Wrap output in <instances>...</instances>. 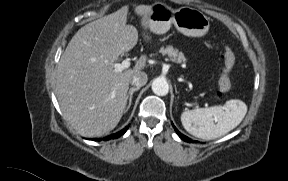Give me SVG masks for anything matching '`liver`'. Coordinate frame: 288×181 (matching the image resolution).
Instances as JSON below:
<instances>
[{
    "mask_svg": "<svg viewBox=\"0 0 288 181\" xmlns=\"http://www.w3.org/2000/svg\"><path fill=\"white\" fill-rule=\"evenodd\" d=\"M128 10L123 6L80 28L60 58L55 93L64 118L82 136H101L117 126L132 77L146 66V55L132 69L116 72L112 66L138 41L137 29L127 25ZM134 11L147 27L151 6L139 5Z\"/></svg>",
    "mask_w": 288,
    "mask_h": 181,
    "instance_id": "1",
    "label": "liver"
}]
</instances>
